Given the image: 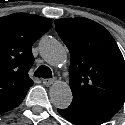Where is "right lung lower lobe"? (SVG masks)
<instances>
[{
  "label": "right lung lower lobe",
  "mask_w": 125,
  "mask_h": 125,
  "mask_svg": "<svg viewBox=\"0 0 125 125\" xmlns=\"http://www.w3.org/2000/svg\"><path fill=\"white\" fill-rule=\"evenodd\" d=\"M24 98H25V96L17 97V98L11 99L9 101L0 103V113H4L6 111H9V110L15 108L23 101Z\"/></svg>",
  "instance_id": "1"
}]
</instances>
